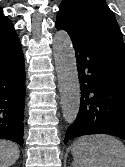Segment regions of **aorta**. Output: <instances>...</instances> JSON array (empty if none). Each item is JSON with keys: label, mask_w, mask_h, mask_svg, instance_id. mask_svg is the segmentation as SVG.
Instances as JSON below:
<instances>
[{"label": "aorta", "mask_w": 125, "mask_h": 167, "mask_svg": "<svg viewBox=\"0 0 125 167\" xmlns=\"http://www.w3.org/2000/svg\"><path fill=\"white\" fill-rule=\"evenodd\" d=\"M53 55L58 77L62 113L65 121L72 124L78 115L81 96L75 51L70 36L64 30H59L55 33Z\"/></svg>", "instance_id": "obj_1"}]
</instances>
